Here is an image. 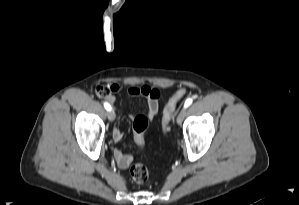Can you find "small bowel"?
<instances>
[{"label": "small bowel", "instance_id": "1", "mask_svg": "<svg viewBox=\"0 0 299 205\" xmlns=\"http://www.w3.org/2000/svg\"><path fill=\"white\" fill-rule=\"evenodd\" d=\"M114 92H118L121 90V86L119 84L112 85ZM128 94L131 96H141L146 99V112L145 115L148 121H152L159 107V99H160V91L157 88L150 87L147 85L144 86H132L128 89ZM110 102H113V98L110 99ZM130 118L134 119L135 116L133 114L128 115ZM123 131L120 128H115L113 131V138L115 142H120L123 138ZM114 157L118 164V166L122 169H127L133 162V157L129 154H125L120 148H115Z\"/></svg>", "mask_w": 299, "mask_h": 205}]
</instances>
